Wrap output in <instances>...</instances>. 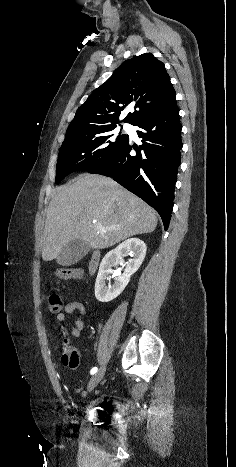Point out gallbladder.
<instances>
[{"mask_svg":"<svg viewBox=\"0 0 236 467\" xmlns=\"http://www.w3.org/2000/svg\"><path fill=\"white\" fill-rule=\"evenodd\" d=\"M90 251V246L83 240L74 239L59 252L56 261L61 266H71L80 261Z\"/></svg>","mask_w":236,"mask_h":467,"instance_id":"obj_1","label":"gallbladder"}]
</instances>
